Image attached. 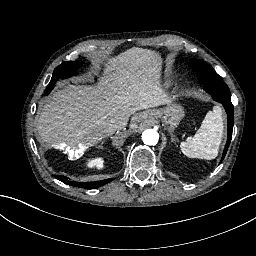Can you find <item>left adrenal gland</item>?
Listing matches in <instances>:
<instances>
[{
  "label": "left adrenal gland",
  "mask_w": 256,
  "mask_h": 256,
  "mask_svg": "<svg viewBox=\"0 0 256 256\" xmlns=\"http://www.w3.org/2000/svg\"><path fill=\"white\" fill-rule=\"evenodd\" d=\"M170 136H171V141H172V142L178 140V138H177L173 133H170Z\"/></svg>",
  "instance_id": "obj_1"
}]
</instances>
